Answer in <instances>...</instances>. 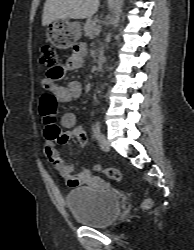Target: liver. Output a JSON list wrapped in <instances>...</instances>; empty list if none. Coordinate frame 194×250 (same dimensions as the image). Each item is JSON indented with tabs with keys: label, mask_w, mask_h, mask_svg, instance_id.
Listing matches in <instances>:
<instances>
[{
	"label": "liver",
	"mask_w": 194,
	"mask_h": 250,
	"mask_svg": "<svg viewBox=\"0 0 194 250\" xmlns=\"http://www.w3.org/2000/svg\"><path fill=\"white\" fill-rule=\"evenodd\" d=\"M99 8V0H46L42 25L55 20L85 19L92 17Z\"/></svg>",
	"instance_id": "1"
}]
</instances>
